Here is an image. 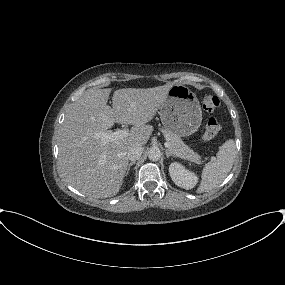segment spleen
Instances as JSON below:
<instances>
[{
    "instance_id": "spleen-1",
    "label": "spleen",
    "mask_w": 285,
    "mask_h": 285,
    "mask_svg": "<svg viewBox=\"0 0 285 285\" xmlns=\"http://www.w3.org/2000/svg\"><path fill=\"white\" fill-rule=\"evenodd\" d=\"M235 158V142L233 139H229L220 147L216 158L203 168L197 193L209 192L218 187L231 171Z\"/></svg>"
}]
</instances>
